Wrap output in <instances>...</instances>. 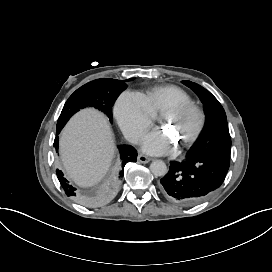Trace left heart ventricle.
I'll list each match as a JSON object with an SVG mask.
<instances>
[{
    "label": "left heart ventricle",
    "instance_id": "b2bd125f",
    "mask_svg": "<svg viewBox=\"0 0 272 272\" xmlns=\"http://www.w3.org/2000/svg\"><path fill=\"white\" fill-rule=\"evenodd\" d=\"M162 121L172 124L180 138H184L193 121V116L187 113L165 112L162 116Z\"/></svg>",
    "mask_w": 272,
    "mask_h": 272
}]
</instances>
